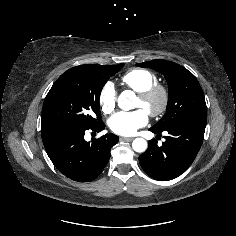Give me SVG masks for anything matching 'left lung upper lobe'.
I'll use <instances>...</instances> for the list:
<instances>
[{"label":"left lung upper lobe","instance_id":"5c2ea615","mask_svg":"<svg viewBox=\"0 0 236 236\" xmlns=\"http://www.w3.org/2000/svg\"><path fill=\"white\" fill-rule=\"evenodd\" d=\"M164 74L169 87L167 111L151 129L162 131L180 120L206 116V103L202 88L196 77L179 64L166 60L138 63Z\"/></svg>","mask_w":236,"mask_h":236}]
</instances>
